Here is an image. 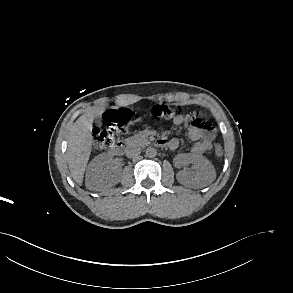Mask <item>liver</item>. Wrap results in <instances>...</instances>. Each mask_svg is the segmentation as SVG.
<instances>
[{"label":"liver","mask_w":293,"mask_h":293,"mask_svg":"<svg viewBox=\"0 0 293 293\" xmlns=\"http://www.w3.org/2000/svg\"><path fill=\"white\" fill-rule=\"evenodd\" d=\"M94 111L80 116L69 132L67 162L74 181L81 185L92 150Z\"/></svg>","instance_id":"6515ba94"}]
</instances>
